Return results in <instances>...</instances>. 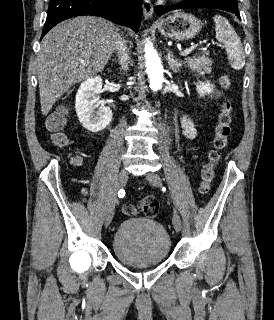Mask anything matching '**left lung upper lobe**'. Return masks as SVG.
Masks as SVG:
<instances>
[{"label": "left lung upper lobe", "instance_id": "5c2ea615", "mask_svg": "<svg viewBox=\"0 0 274 320\" xmlns=\"http://www.w3.org/2000/svg\"><path fill=\"white\" fill-rule=\"evenodd\" d=\"M225 1L232 3V4H237V0H225Z\"/></svg>", "mask_w": 274, "mask_h": 320}]
</instances>
